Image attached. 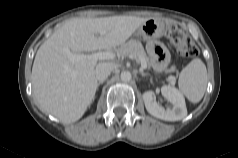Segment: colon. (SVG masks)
<instances>
[{
  "mask_svg": "<svg viewBox=\"0 0 238 158\" xmlns=\"http://www.w3.org/2000/svg\"><path fill=\"white\" fill-rule=\"evenodd\" d=\"M168 39L183 57H195L198 49L187 34L176 25L168 26Z\"/></svg>",
  "mask_w": 238,
  "mask_h": 158,
  "instance_id": "obj_1",
  "label": "colon"
}]
</instances>
